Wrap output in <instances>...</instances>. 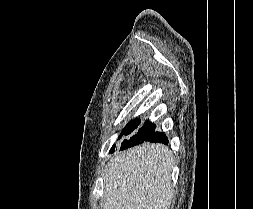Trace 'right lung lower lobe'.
<instances>
[{
  "mask_svg": "<svg viewBox=\"0 0 253 209\" xmlns=\"http://www.w3.org/2000/svg\"><path fill=\"white\" fill-rule=\"evenodd\" d=\"M155 128L149 132L144 133L142 135V139L144 142H152V143H162V144H168V140L166 135L163 132H155Z\"/></svg>",
  "mask_w": 253,
  "mask_h": 209,
  "instance_id": "98d812e1",
  "label": "right lung lower lobe"
}]
</instances>
